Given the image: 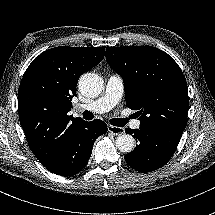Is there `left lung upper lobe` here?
<instances>
[{
  "instance_id": "5c2ea615",
  "label": "left lung upper lobe",
  "mask_w": 215,
  "mask_h": 215,
  "mask_svg": "<svg viewBox=\"0 0 215 215\" xmlns=\"http://www.w3.org/2000/svg\"><path fill=\"white\" fill-rule=\"evenodd\" d=\"M106 60L122 76L126 105L139 111L140 126L185 129L187 82L171 56L151 46H108Z\"/></svg>"
}]
</instances>
